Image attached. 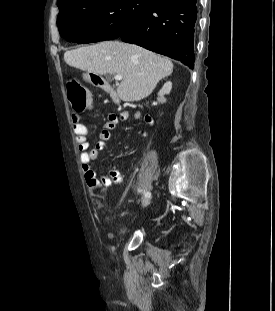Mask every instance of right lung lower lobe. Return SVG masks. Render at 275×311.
I'll use <instances>...</instances> for the list:
<instances>
[{
  "label": "right lung lower lobe",
  "mask_w": 275,
  "mask_h": 311,
  "mask_svg": "<svg viewBox=\"0 0 275 311\" xmlns=\"http://www.w3.org/2000/svg\"><path fill=\"white\" fill-rule=\"evenodd\" d=\"M197 0H158L135 17L118 37L194 67Z\"/></svg>",
  "instance_id": "1"
}]
</instances>
